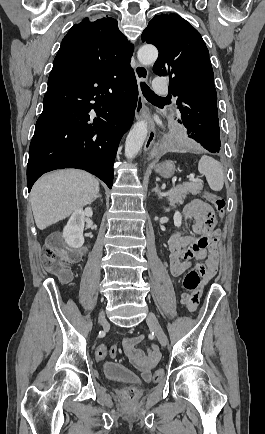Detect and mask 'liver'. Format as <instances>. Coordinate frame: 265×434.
<instances>
[{
	"mask_svg": "<svg viewBox=\"0 0 265 434\" xmlns=\"http://www.w3.org/2000/svg\"><path fill=\"white\" fill-rule=\"evenodd\" d=\"M99 192L97 178L82 170H58L34 184L30 202L39 230L68 218L74 210L93 202Z\"/></svg>",
	"mask_w": 265,
	"mask_h": 434,
	"instance_id": "liver-1",
	"label": "liver"
}]
</instances>
